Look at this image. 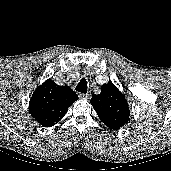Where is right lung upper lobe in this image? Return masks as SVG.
Masks as SVG:
<instances>
[{
	"label": "right lung upper lobe",
	"instance_id": "cb5924a9",
	"mask_svg": "<svg viewBox=\"0 0 171 171\" xmlns=\"http://www.w3.org/2000/svg\"><path fill=\"white\" fill-rule=\"evenodd\" d=\"M76 93L68 86H59L51 79L46 80L33 93L29 102L31 116L43 127H51L67 113Z\"/></svg>",
	"mask_w": 171,
	"mask_h": 171
}]
</instances>
